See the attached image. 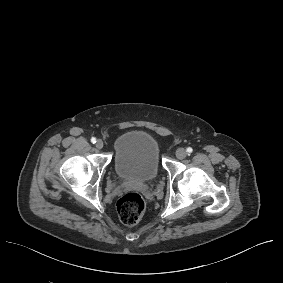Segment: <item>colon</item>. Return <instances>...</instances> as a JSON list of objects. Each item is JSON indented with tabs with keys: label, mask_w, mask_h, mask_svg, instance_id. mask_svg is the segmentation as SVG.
Instances as JSON below:
<instances>
[{
	"label": "colon",
	"mask_w": 283,
	"mask_h": 283,
	"mask_svg": "<svg viewBox=\"0 0 283 283\" xmlns=\"http://www.w3.org/2000/svg\"><path fill=\"white\" fill-rule=\"evenodd\" d=\"M116 205L119 218L126 225L138 223L146 208L144 199L135 192H130L120 197Z\"/></svg>",
	"instance_id": "obj_1"
}]
</instances>
